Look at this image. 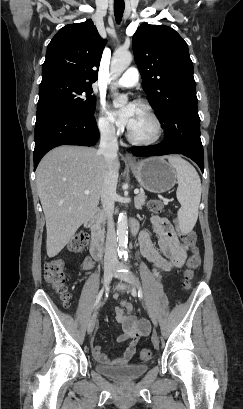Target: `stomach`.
<instances>
[{"mask_svg":"<svg viewBox=\"0 0 243 409\" xmlns=\"http://www.w3.org/2000/svg\"><path fill=\"white\" fill-rule=\"evenodd\" d=\"M129 167L138 183L152 193H164L176 183L177 174L171 164L162 157H150Z\"/></svg>","mask_w":243,"mask_h":409,"instance_id":"1","label":"stomach"}]
</instances>
